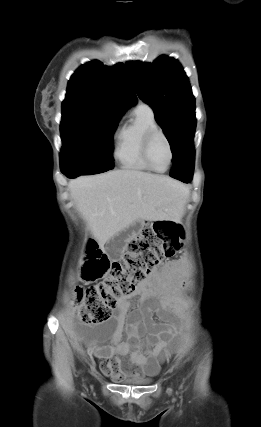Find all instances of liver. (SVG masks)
<instances>
[{"mask_svg": "<svg viewBox=\"0 0 261 427\" xmlns=\"http://www.w3.org/2000/svg\"><path fill=\"white\" fill-rule=\"evenodd\" d=\"M68 187L101 247L136 221H179L189 195L174 179L136 170L81 176Z\"/></svg>", "mask_w": 261, "mask_h": 427, "instance_id": "1", "label": "liver"}]
</instances>
